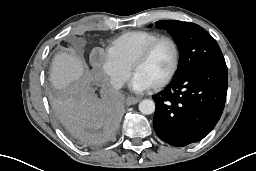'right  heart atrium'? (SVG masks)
Listing matches in <instances>:
<instances>
[{
	"mask_svg": "<svg viewBox=\"0 0 256 171\" xmlns=\"http://www.w3.org/2000/svg\"><path fill=\"white\" fill-rule=\"evenodd\" d=\"M93 64L106 76L112 87L119 89L129 75V68L119 63L105 51H95L92 54Z\"/></svg>",
	"mask_w": 256,
	"mask_h": 171,
	"instance_id": "obj_1",
	"label": "right heart atrium"
}]
</instances>
